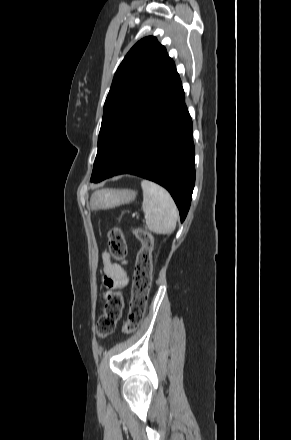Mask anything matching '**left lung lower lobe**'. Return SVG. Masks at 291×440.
<instances>
[{
  "label": "left lung lower lobe",
  "instance_id": "1",
  "mask_svg": "<svg viewBox=\"0 0 291 440\" xmlns=\"http://www.w3.org/2000/svg\"><path fill=\"white\" fill-rule=\"evenodd\" d=\"M192 120L179 74L135 119L91 182L132 174L165 187L183 222L195 183Z\"/></svg>",
  "mask_w": 291,
  "mask_h": 440
}]
</instances>
